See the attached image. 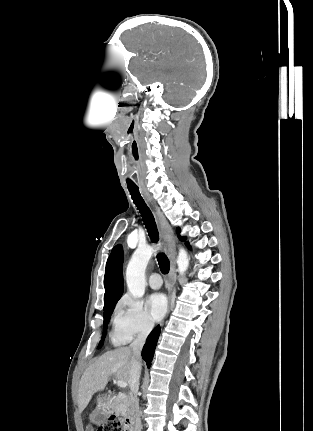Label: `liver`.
<instances>
[{"instance_id":"liver-1","label":"liver","mask_w":313,"mask_h":431,"mask_svg":"<svg viewBox=\"0 0 313 431\" xmlns=\"http://www.w3.org/2000/svg\"><path fill=\"white\" fill-rule=\"evenodd\" d=\"M130 347H121L106 352L84 371L78 387V408L82 412L92 399V396L105 389L109 377L129 383L132 365Z\"/></svg>"}]
</instances>
